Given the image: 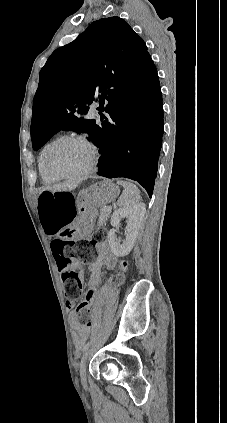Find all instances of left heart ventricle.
I'll return each mask as SVG.
<instances>
[{"label":"left heart ventricle","mask_w":227,"mask_h":423,"mask_svg":"<svg viewBox=\"0 0 227 423\" xmlns=\"http://www.w3.org/2000/svg\"><path fill=\"white\" fill-rule=\"evenodd\" d=\"M91 161L92 151L80 142L64 145L52 157V162L57 168L70 174L84 171Z\"/></svg>","instance_id":"1"}]
</instances>
